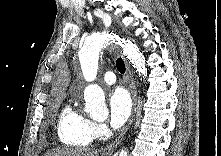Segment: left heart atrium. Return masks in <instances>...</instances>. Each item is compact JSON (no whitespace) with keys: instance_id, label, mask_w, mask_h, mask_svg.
Masks as SVG:
<instances>
[{"instance_id":"obj_1","label":"left heart atrium","mask_w":221,"mask_h":156,"mask_svg":"<svg viewBox=\"0 0 221 156\" xmlns=\"http://www.w3.org/2000/svg\"><path fill=\"white\" fill-rule=\"evenodd\" d=\"M109 123L117 129L124 125L132 111V101L129 93L123 88H116L108 99Z\"/></svg>"}]
</instances>
